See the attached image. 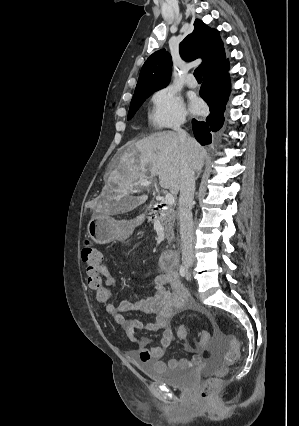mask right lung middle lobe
I'll return each instance as SVG.
<instances>
[{
  "label": "right lung middle lobe",
  "instance_id": "1",
  "mask_svg": "<svg viewBox=\"0 0 299 426\" xmlns=\"http://www.w3.org/2000/svg\"><path fill=\"white\" fill-rule=\"evenodd\" d=\"M152 93L153 92H141V93L133 95L128 117H127L128 120L134 116L135 112L139 109V107L142 105L145 99L149 97Z\"/></svg>",
  "mask_w": 299,
  "mask_h": 426
}]
</instances>
